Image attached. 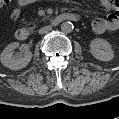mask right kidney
Listing matches in <instances>:
<instances>
[{
	"label": "right kidney",
	"mask_w": 119,
	"mask_h": 119,
	"mask_svg": "<svg viewBox=\"0 0 119 119\" xmlns=\"http://www.w3.org/2000/svg\"><path fill=\"white\" fill-rule=\"evenodd\" d=\"M18 47V42L10 43L1 53V63L11 70H19L26 67L32 59V53L26 45L22 46L23 55H13V51Z\"/></svg>",
	"instance_id": "ca27d5eb"
}]
</instances>
